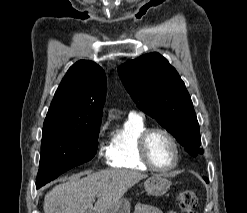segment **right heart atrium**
I'll return each instance as SVG.
<instances>
[{
    "mask_svg": "<svg viewBox=\"0 0 247 213\" xmlns=\"http://www.w3.org/2000/svg\"><path fill=\"white\" fill-rule=\"evenodd\" d=\"M98 155L102 159H109V151L108 148H106L103 145H100L98 148Z\"/></svg>",
    "mask_w": 247,
    "mask_h": 213,
    "instance_id": "1",
    "label": "right heart atrium"
}]
</instances>
